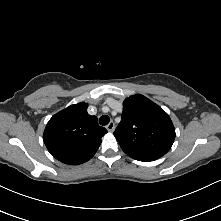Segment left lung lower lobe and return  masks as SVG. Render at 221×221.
I'll use <instances>...</instances> for the list:
<instances>
[{
	"label": "left lung lower lobe",
	"instance_id": "obj_1",
	"mask_svg": "<svg viewBox=\"0 0 221 221\" xmlns=\"http://www.w3.org/2000/svg\"><path fill=\"white\" fill-rule=\"evenodd\" d=\"M137 160V159H136ZM139 161H147V160H139Z\"/></svg>",
	"mask_w": 221,
	"mask_h": 221
}]
</instances>
